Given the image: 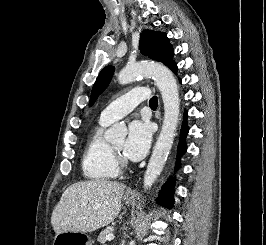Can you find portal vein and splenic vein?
<instances>
[{
    "instance_id": "portal-vein-and-splenic-vein-1",
    "label": "portal vein and splenic vein",
    "mask_w": 266,
    "mask_h": 245,
    "mask_svg": "<svg viewBox=\"0 0 266 245\" xmlns=\"http://www.w3.org/2000/svg\"><path fill=\"white\" fill-rule=\"evenodd\" d=\"M114 235H107L106 241H113Z\"/></svg>"
}]
</instances>
